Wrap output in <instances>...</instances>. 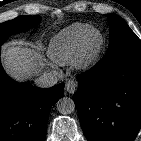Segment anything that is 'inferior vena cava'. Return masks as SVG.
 Here are the masks:
<instances>
[{"mask_svg":"<svg viewBox=\"0 0 141 141\" xmlns=\"http://www.w3.org/2000/svg\"><path fill=\"white\" fill-rule=\"evenodd\" d=\"M58 78L52 72H45L35 80V84L40 88H49L57 84Z\"/></svg>","mask_w":141,"mask_h":141,"instance_id":"1","label":"inferior vena cava"}]
</instances>
